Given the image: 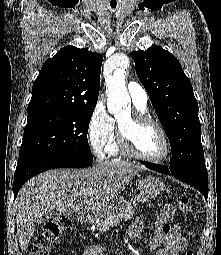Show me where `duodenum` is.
<instances>
[{
	"label": "duodenum",
	"mask_w": 221,
	"mask_h": 255,
	"mask_svg": "<svg viewBox=\"0 0 221 255\" xmlns=\"http://www.w3.org/2000/svg\"><path fill=\"white\" fill-rule=\"evenodd\" d=\"M95 218V216L87 211H82L79 214V220L83 223H87L92 221Z\"/></svg>",
	"instance_id": "duodenum-1"
}]
</instances>
